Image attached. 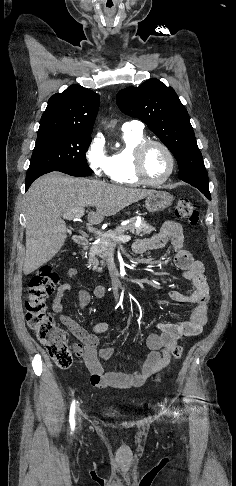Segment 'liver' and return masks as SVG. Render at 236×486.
I'll return each instance as SVG.
<instances>
[{
	"label": "liver",
	"instance_id": "liver-1",
	"mask_svg": "<svg viewBox=\"0 0 236 486\" xmlns=\"http://www.w3.org/2000/svg\"><path fill=\"white\" fill-rule=\"evenodd\" d=\"M154 190L74 178L58 172L37 179L25 195L26 253L23 272L29 275L51 260L67 238L61 216L74 209L94 206L88 222L99 224L123 208L140 201Z\"/></svg>",
	"mask_w": 236,
	"mask_h": 486
}]
</instances>
